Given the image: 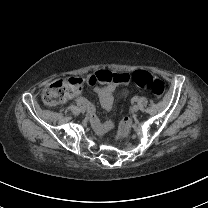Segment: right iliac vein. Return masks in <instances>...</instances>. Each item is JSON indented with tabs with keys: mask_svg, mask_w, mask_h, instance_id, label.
<instances>
[{
	"mask_svg": "<svg viewBox=\"0 0 208 208\" xmlns=\"http://www.w3.org/2000/svg\"><path fill=\"white\" fill-rule=\"evenodd\" d=\"M80 112H81V113H85V112H86V109H85L84 107H81V108H80Z\"/></svg>",
	"mask_w": 208,
	"mask_h": 208,
	"instance_id": "right-iliac-vein-1",
	"label": "right iliac vein"
}]
</instances>
